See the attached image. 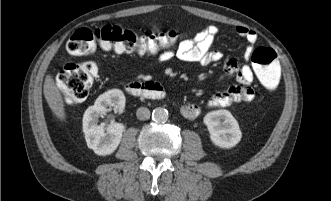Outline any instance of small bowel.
<instances>
[{"label": "small bowel", "mask_w": 331, "mask_h": 201, "mask_svg": "<svg viewBox=\"0 0 331 201\" xmlns=\"http://www.w3.org/2000/svg\"><path fill=\"white\" fill-rule=\"evenodd\" d=\"M218 32L217 26H206L192 38H181L175 49L160 52L157 59L159 62H166L177 58L202 65L217 63L223 57L220 51L213 49ZM236 33L250 44L245 53V58L248 60L252 51L251 46L257 42L258 34L256 31L242 26L236 28ZM223 72L226 75H235L238 84L214 94L207 103L208 107H227L233 103L248 102L254 98V90L251 84L254 81L255 72L252 66L248 63L241 66L237 59L228 58L223 64ZM180 113L186 118H195L201 113V108L195 103H185L180 107Z\"/></svg>", "instance_id": "c3829d8e"}]
</instances>
